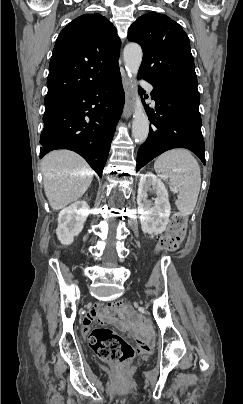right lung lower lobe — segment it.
<instances>
[{
    "instance_id": "obj_1",
    "label": "right lung lower lobe",
    "mask_w": 243,
    "mask_h": 404,
    "mask_svg": "<svg viewBox=\"0 0 243 404\" xmlns=\"http://www.w3.org/2000/svg\"><path fill=\"white\" fill-rule=\"evenodd\" d=\"M124 101L120 72L81 92L45 101L40 158L69 149L102 177Z\"/></svg>"
}]
</instances>
